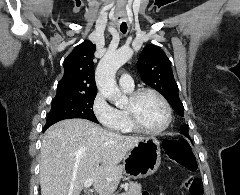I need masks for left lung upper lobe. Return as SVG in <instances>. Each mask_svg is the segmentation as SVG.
I'll return each mask as SVG.
<instances>
[{"label": "left lung upper lobe", "instance_id": "1", "mask_svg": "<svg viewBox=\"0 0 240 195\" xmlns=\"http://www.w3.org/2000/svg\"><path fill=\"white\" fill-rule=\"evenodd\" d=\"M143 82L161 93L171 104L179 116H184V107L178 95L171 64L163 50L154 45H147L143 49L137 62ZM180 132L188 135V125H182Z\"/></svg>", "mask_w": 240, "mask_h": 195}]
</instances>
